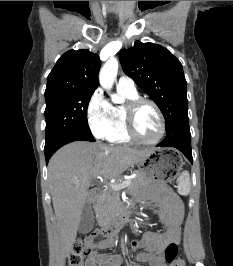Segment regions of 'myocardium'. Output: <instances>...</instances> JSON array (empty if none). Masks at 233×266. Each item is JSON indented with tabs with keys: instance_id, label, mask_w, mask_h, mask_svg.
<instances>
[{
	"instance_id": "f54148a6",
	"label": "myocardium",
	"mask_w": 233,
	"mask_h": 266,
	"mask_svg": "<svg viewBox=\"0 0 233 266\" xmlns=\"http://www.w3.org/2000/svg\"><path fill=\"white\" fill-rule=\"evenodd\" d=\"M143 105L152 106L155 109L156 113L158 114V117L160 120L159 134L153 140H144L136 132L135 116H136L138 109ZM123 111H124L127 134L132 141L139 143V144H143V145H155V144H158L163 139L165 132H166L165 117L160 107L154 101L150 99H146V98H141V97L130 99L123 106Z\"/></svg>"
}]
</instances>
